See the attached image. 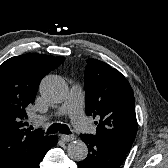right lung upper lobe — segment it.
Segmentation results:
<instances>
[{
	"instance_id": "obj_1",
	"label": "right lung upper lobe",
	"mask_w": 168,
	"mask_h": 168,
	"mask_svg": "<svg viewBox=\"0 0 168 168\" xmlns=\"http://www.w3.org/2000/svg\"><path fill=\"white\" fill-rule=\"evenodd\" d=\"M64 57L24 54L0 65V168H24L41 154L52 136L26 129V108L33 103L41 79Z\"/></svg>"
}]
</instances>
